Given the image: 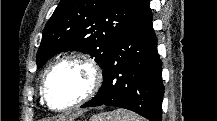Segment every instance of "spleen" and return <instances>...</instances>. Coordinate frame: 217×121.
I'll use <instances>...</instances> for the list:
<instances>
[{
    "label": "spleen",
    "mask_w": 217,
    "mask_h": 121,
    "mask_svg": "<svg viewBox=\"0 0 217 121\" xmlns=\"http://www.w3.org/2000/svg\"><path fill=\"white\" fill-rule=\"evenodd\" d=\"M92 121H142V119L132 112L117 109L95 115L92 117Z\"/></svg>",
    "instance_id": "1"
}]
</instances>
